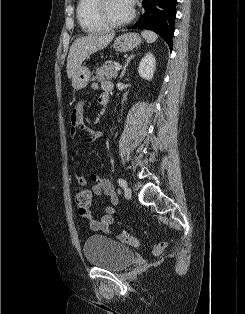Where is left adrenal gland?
Masks as SVG:
<instances>
[{
  "label": "left adrenal gland",
  "mask_w": 245,
  "mask_h": 314,
  "mask_svg": "<svg viewBox=\"0 0 245 314\" xmlns=\"http://www.w3.org/2000/svg\"><path fill=\"white\" fill-rule=\"evenodd\" d=\"M135 57V54H131L129 57H127L126 59V63L122 69L121 75H120V79H122L125 75L126 72V68L128 67V64L130 63L131 59H133Z\"/></svg>",
  "instance_id": "a2214340"
}]
</instances>
